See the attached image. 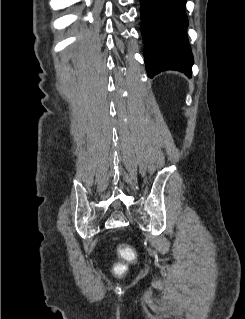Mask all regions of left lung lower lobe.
I'll list each match as a JSON object with an SVG mask.
<instances>
[{
    "instance_id": "1",
    "label": "left lung lower lobe",
    "mask_w": 245,
    "mask_h": 319,
    "mask_svg": "<svg viewBox=\"0 0 245 319\" xmlns=\"http://www.w3.org/2000/svg\"><path fill=\"white\" fill-rule=\"evenodd\" d=\"M187 0H140L144 60L149 77L164 70L191 75L193 56L188 43Z\"/></svg>"
}]
</instances>
